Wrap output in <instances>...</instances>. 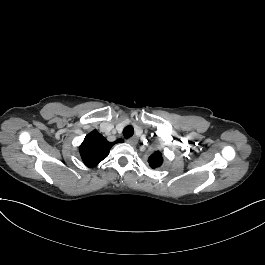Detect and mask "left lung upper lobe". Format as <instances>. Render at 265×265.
I'll list each match as a JSON object with an SVG mask.
<instances>
[{
	"label": "left lung upper lobe",
	"mask_w": 265,
	"mask_h": 265,
	"mask_svg": "<svg viewBox=\"0 0 265 265\" xmlns=\"http://www.w3.org/2000/svg\"><path fill=\"white\" fill-rule=\"evenodd\" d=\"M148 162H149V165L152 167V168H156V167H159L162 162H163V159H162V155L160 152H155L153 153L149 159H148Z\"/></svg>",
	"instance_id": "left-lung-upper-lobe-1"
}]
</instances>
